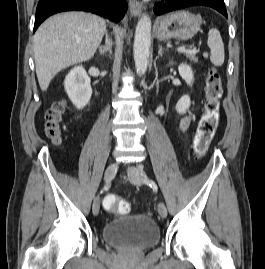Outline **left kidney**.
Returning a JSON list of instances; mask_svg holds the SVG:
<instances>
[{
  "label": "left kidney",
  "mask_w": 265,
  "mask_h": 269,
  "mask_svg": "<svg viewBox=\"0 0 265 269\" xmlns=\"http://www.w3.org/2000/svg\"><path fill=\"white\" fill-rule=\"evenodd\" d=\"M178 71H179L180 76L187 83V85L191 86L194 81V75H193L191 67L187 64H180L178 66ZM190 104H191L190 97L188 95L182 96L176 104L177 113L179 114L186 113V110L189 109Z\"/></svg>",
  "instance_id": "left-kidney-1"
}]
</instances>
